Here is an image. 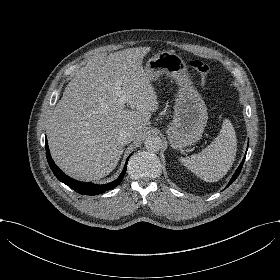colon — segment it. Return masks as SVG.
<instances>
[{
	"label": "colon",
	"instance_id": "obj_1",
	"mask_svg": "<svg viewBox=\"0 0 280 280\" xmlns=\"http://www.w3.org/2000/svg\"><path fill=\"white\" fill-rule=\"evenodd\" d=\"M190 68L200 74L204 80L207 79L209 74V67L208 65L200 59H192L189 62Z\"/></svg>",
	"mask_w": 280,
	"mask_h": 280
}]
</instances>
